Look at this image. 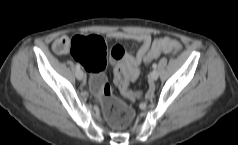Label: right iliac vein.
I'll return each mask as SVG.
<instances>
[{
  "instance_id": "63e3f726",
  "label": "right iliac vein",
  "mask_w": 238,
  "mask_h": 145,
  "mask_svg": "<svg viewBox=\"0 0 238 145\" xmlns=\"http://www.w3.org/2000/svg\"><path fill=\"white\" fill-rule=\"evenodd\" d=\"M76 77L78 80H82L84 78V73L81 70L76 71Z\"/></svg>"
}]
</instances>
